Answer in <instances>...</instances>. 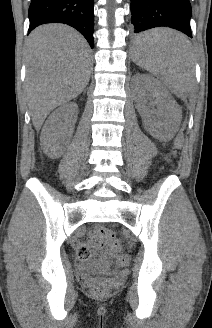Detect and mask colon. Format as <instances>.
<instances>
[{
  "instance_id": "5ec220e1",
  "label": "colon",
  "mask_w": 212,
  "mask_h": 328,
  "mask_svg": "<svg viewBox=\"0 0 212 328\" xmlns=\"http://www.w3.org/2000/svg\"><path fill=\"white\" fill-rule=\"evenodd\" d=\"M99 232H100V235L106 240V242L108 243V245L111 248H113L115 250H119L121 248V243L118 240V238L116 237L114 232H112L111 230L105 229V228L100 229ZM78 255L81 259H84L87 257V255L84 251H79ZM128 262H129V257L127 255H121L118 258L119 265L123 266V265L128 264ZM92 291L96 295H102L105 293L106 288L104 287V285L97 283L92 286Z\"/></svg>"
}]
</instances>
